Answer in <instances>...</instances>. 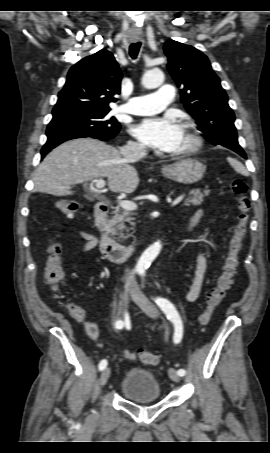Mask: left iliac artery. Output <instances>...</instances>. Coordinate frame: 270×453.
<instances>
[{"mask_svg":"<svg viewBox=\"0 0 270 453\" xmlns=\"http://www.w3.org/2000/svg\"><path fill=\"white\" fill-rule=\"evenodd\" d=\"M154 301L159 306V308L164 312L167 318L174 323L175 325L174 342L179 343L183 335V325L182 320L175 306L169 300L161 297L155 298ZM177 373L179 376H184L186 371L184 369H179Z\"/></svg>","mask_w":270,"mask_h":453,"instance_id":"1","label":"left iliac artery"}]
</instances>
